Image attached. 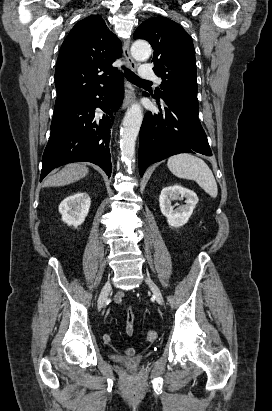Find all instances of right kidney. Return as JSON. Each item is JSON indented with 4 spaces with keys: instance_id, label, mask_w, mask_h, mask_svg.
<instances>
[{
    "instance_id": "1",
    "label": "right kidney",
    "mask_w": 272,
    "mask_h": 411,
    "mask_svg": "<svg viewBox=\"0 0 272 411\" xmlns=\"http://www.w3.org/2000/svg\"><path fill=\"white\" fill-rule=\"evenodd\" d=\"M90 197L85 192H77L65 198L59 205L62 221L69 226L77 228L88 215L90 208Z\"/></svg>"
}]
</instances>
